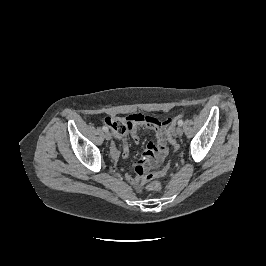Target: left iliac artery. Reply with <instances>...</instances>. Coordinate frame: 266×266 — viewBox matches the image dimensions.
<instances>
[{
  "label": "left iliac artery",
  "mask_w": 266,
  "mask_h": 266,
  "mask_svg": "<svg viewBox=\"0 0 266 266\" xmlns=\"http://www.w3.org/2000/svg\"><path fill=\"white\" fill-rule=\"evenodd\" d=\"M178 125H179V126H182V125H183V120H179V121H178Z\"/></svg>",
  "instance_id": "left-iliac-artery-1"
}]
</instances>
